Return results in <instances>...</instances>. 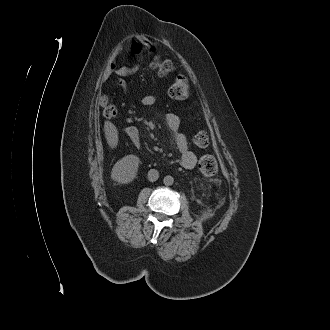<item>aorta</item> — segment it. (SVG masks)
<instances>
[{"label": "aorta", "instance_id": "1", "mask_svg": "<svg viewBox=\"0 0 330 330\" xmlns=\"http://www.w3.org/2000/svg\"><path fill=\"white\" fill-rule=\"evenodd\" d=\"M163 183L166 186H171L174 183V178L170 175H167L163 179Z\"/></svg>", "mask_w": 330, "mask_h": 330}]
</instances>
